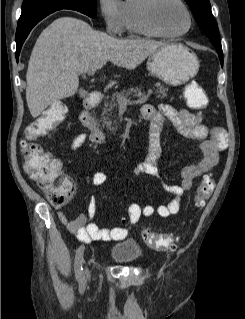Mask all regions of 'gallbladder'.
<instances>
[{
  "label": "gallbladder",
  "mask_w": 245,
  "mask_h": 319,
  "mask_svg": "<svg viewBox=\"0 0 245 319\" xmlns=\"http://www.w3.org/2000/svg\"><path fill=\"white\" fill-rule=\"evenodd\" d=\"M80 96H85L87 92L85 90H80L79 91Z\"/></svg>",
  "instance_id": "gallbladder-1"
}]
</instances>
